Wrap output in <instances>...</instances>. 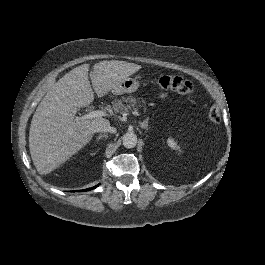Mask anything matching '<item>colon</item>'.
I'll use <instances>...</instances> for the list:
<instances>
[{
	"instance_id": "colon-1",
	"label": "colon",
	"mask_w": 265,
	"mask_h": 265,
	"mask_svg": "<svg viewBox=\"0 0 265 265\" xmlns=\"http://www.w3.org/2000/svg\"><path fill=\"white\" fill-rule=\"evenodd\" d=\"M158 83L164 89L174 90L189 98H192L194 95L192 83L180 76L164 75L158 79ZM208 119L214 124L220 122L221 112L218 106L213 105L210 107L208 111Z\"/></svg>"
}]
</instances>
